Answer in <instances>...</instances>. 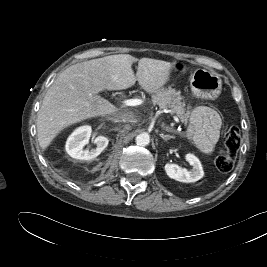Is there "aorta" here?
<instances>
[{
    "mask_svg": "<svg viewBox=\"0 0 267 267\" xmlns=\"http://www.w3.org/2000/svg\"><path fill=\"white\" fill-rule=\"evenodd\" d=\"M136 143L139 146H147L150 143V136L148 133H141L136 137Z\"/></svg>",
    "mask_w": 267,
    "mask_h": 267,
    "instance_id": "aorta-1",
    "label": "aorta"
}]
</instances>
